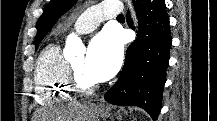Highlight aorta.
<instances>
[{
    "instance_id": "aorta-1",
    "label": "aorta",
    "mask_w": 217,
    "mask_h": 121,
    "mask_svg": "<svg viewBox=\"0 0 217 121\" xmlns=\"http://www.w3.org/2000/svg\"><path fill=\"white\" fill-rule=\"evenodd\" d=\"M128 5L130 6L132 17L136 24V16L135 12L133 11V8L131 6V1L128 0ZM84 51V45L81 41V39L76 36L75 34H70L66 40V46L64 49V55L66 58L72 57L76 54H80Z\"/></svg>"
}]
</instances>
